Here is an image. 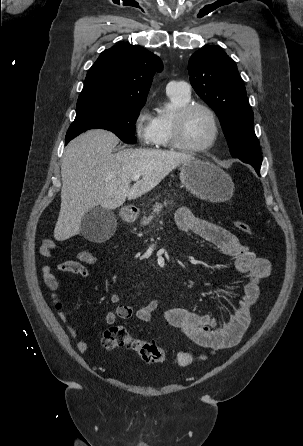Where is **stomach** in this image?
Listing matches in <instances>:
<instances>
[{
    "mask_svg": "<svg viewBox=\"0 0 303 446\" xmlns=\"http://www.w3.org/2000/svg\"><path fill=\"white\" fill-rule=\"evenodd\" d=\"M182 185L194 196L213 203L228 201L234 191L231 177L221 168L202 160L192 159L180 168ZM136 212L128 210L125 219H132Z\"/></svg>",
    "mask_w": 303,
    "mask_h": 446,
    "instance_id": "stomach-1",
    "label": "stomach"
}]
</instances>
